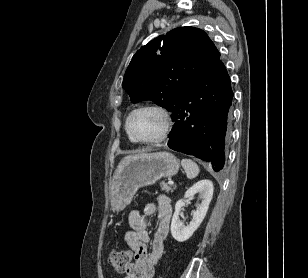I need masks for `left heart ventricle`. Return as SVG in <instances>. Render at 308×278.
Segmentation results:
<instances>
[{"label":"left heart ventricle","instance_id":"b2bd125f","mask_svg":"<svg viewBox=\"0 0 308 278\" xmlns=\"http://www.w3.org/2000/svg\"><path fill=\"white\" fill-rule=\"evenodd\" d=\"M163 127L162 116L154 110H141L131 119V129L141 139H153L159 136Z\"/></svg>","mask_w":308,"mask_h":278}]
</instances>
